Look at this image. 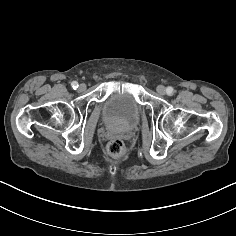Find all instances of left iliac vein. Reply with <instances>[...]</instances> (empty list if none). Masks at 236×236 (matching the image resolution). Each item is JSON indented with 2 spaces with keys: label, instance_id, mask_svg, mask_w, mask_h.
Wrapping results in <instances>:
<instances>
[{
  "label": "left iliac vein",
  "instance_id": "1",
  "mask_svg": "<svg viewBox=\"0 0 236 236\" xmlns=\"http://www.w3.org/2000/svg\"><path fill=\"white\" fill-rule=\"evenodd\" d=\"M156 90H157V93L160 94V95H164L165 92H166V89L163 85L157 86Z\"/></svg>",
  "mask_w": 236,
  "mask_h": 236
}]
</instances>
